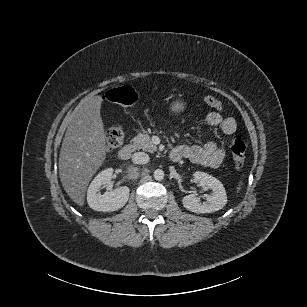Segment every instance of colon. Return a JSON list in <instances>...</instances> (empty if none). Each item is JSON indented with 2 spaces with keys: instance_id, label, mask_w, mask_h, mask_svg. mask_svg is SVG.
Masks as SVG:
<instances>
[{
  "instance_id": "colon-1",
  "label": "colon",
  "mask_w": 307,
  "mask_h": 307,
  "mask_svg": "<svg viewBox=\"0 0 307 307\" xmlns=\"http://www.w3.org/2000/svg\"><path fill=\"white\" fill-rule=\"evenodd\" d=\"M104 100L121 105L125 108H130L137 100L135 90L129 86L124 85L108 90L104 95ZM205 104L211 108L221 110L223 108L222 102L211 95L203 97ZM126 131L122 127H112L106 134V146L109 150L118 148L124 142ZM245 144L241 139L235 138L231 143V152L233 155L234 166L236 170H241L245 164Z\"/></svg>"
}]
</instances>
